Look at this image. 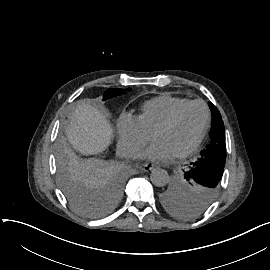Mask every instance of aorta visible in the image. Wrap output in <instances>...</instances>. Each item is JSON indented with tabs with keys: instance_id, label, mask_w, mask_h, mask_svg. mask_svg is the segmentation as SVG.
Listing matches in <instances>:
<instances>
[{
	"instance_id": "obj_1",
	"label": "aorta",
	"mask_w": 270,
	"mask_h": 270,
	"mask_svg": "<svg viewBox=\"0 0 270 270\" xmlns=\"http://www.w3.org/2000/svg\"><path fill=\"white\" fill-rule=\"evenodd\" d=\"M151 182L157 187L167 185L169 180L168 172L162 168L153 169L151 172Z\"/></svg>"
}]
</instances>
